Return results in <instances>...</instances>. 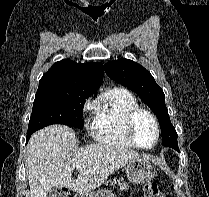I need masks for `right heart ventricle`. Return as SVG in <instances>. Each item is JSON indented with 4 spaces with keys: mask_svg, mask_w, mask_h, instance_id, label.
<instances>
[{
    "mask_svg": "<svg viewBox=\"0 0 209 197\" xmlns=\"http://www.w3.org/2000/svg\"><path fill=\"white\" fill-rule=\"evenodd\" d=\"M136 106V97L126 88L117 87L105 92L96 104V115L92 120L95 138L112 146L133 148L126 133V117Z\"/></svg>",
    "mask_w": 209,
    "mask_h": 197,
    "instance_id": "e07e8e85",
    "label": "right heart ventricle"
}]
</instances>
